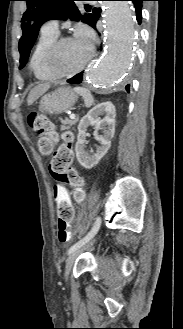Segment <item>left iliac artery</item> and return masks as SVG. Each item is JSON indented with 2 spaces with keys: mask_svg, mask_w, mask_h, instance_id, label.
I'll list each match as a JSON object with an SVG mask.
<instances>
[{
  "mask_svg": "<svg viewBox=\"0 0 183 329\" xmlns=\"http://www.w3.org/2000/svg\"><path fill=\"white\" fill-rule=\"evenodd\" d=\"M100 224H101V218L98 217L92 227V229L90 230V232L80 241H78L77 243H75L73 246L70 247V249L68 250V253H72L74 250H76L77 248L81 247L82 245H84L85 243H87L91 238L94 237V235L97 233V231L100 228Z\"/></svg>",
  "mask_w": 183,
  "mask_h": 329,
  "instance_id": "44dca946",
  "label": "left iliac artery"
}]
</instances>
